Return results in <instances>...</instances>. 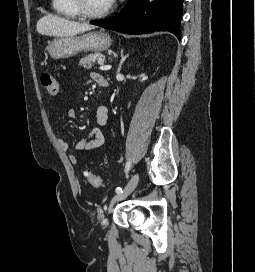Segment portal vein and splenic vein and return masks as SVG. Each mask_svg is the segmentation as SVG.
<instances>
[{
	"instance_id": "portal-vein-and-splenic-vein-1",
	"label": "portal vein and splenic vein",
	"mask_w": 255,
	"mask_h": 272,
	"mask_svg": "<svg viewBox=\"0 0 255 272\" xmlns=\"http://www.w3.org/2000/svg\"><path fill=\"white\" fill-rule=\"evenodd\" d=\"M111 65H104L103 63H100V70H102V71H108V70H110L111 69Z\"/></svg>"
}]
</instances>
